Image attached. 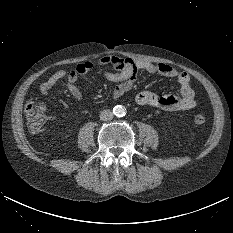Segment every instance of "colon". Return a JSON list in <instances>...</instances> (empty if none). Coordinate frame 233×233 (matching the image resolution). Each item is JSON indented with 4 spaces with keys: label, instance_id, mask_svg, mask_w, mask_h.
I'll return each instance as SVG.
<instances>
[{
    "label": "colon",
    "instance_id": "5ec220e1",
    "mask_svg": "<svg viewBox=\"0 0 233 233\" xmlns=\"http://www.w3.org/2000/svg\"><path fill=\"white\" fill-rule=\"evenodd\" d=\"M25 115L28 122L29 130L32 133L39 132L45 122L44 106L36 101H30L25 106ZM194 123L202 126L206 122V118L201 114H196L193 118Z\"/></svg>",
    "mask_w": 233,
    "mask_h": 233
}]
</instances>
